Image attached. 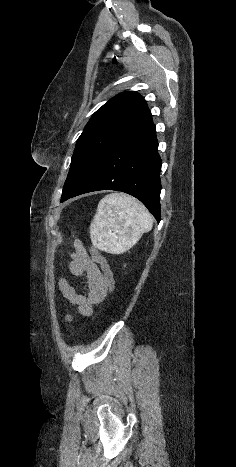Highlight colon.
<instances>
[{
    "mask_svg": "<svg viewBox=\"0 0 236 467\" xmlns=\"http://www.w3.org/2000/svg\"><path fill=\"white\" fill-rule=\"evenodd\" d=\"M90 254H91L92 259L100 265L104 273V277H105L108 289L111 292L114 287V276H113V272L111 268L109 267L106 259L103 257L100 251L94 246L90 247Z\"/></svg>",
    "mask_w": 236,
    "mask_h": 467,
    "instance_id": "5ec220e1",
    "label": "colon"
}]
</instances>
